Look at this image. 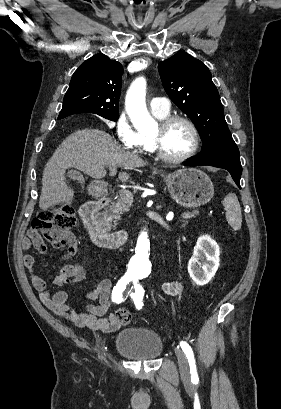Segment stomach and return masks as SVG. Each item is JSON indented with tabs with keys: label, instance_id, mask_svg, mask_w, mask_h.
Instances as JSON below:
<instances>
[{
	"label": "stomach",
	"instance_id": "0dacf381",
	"mask_svg": "<svg viewBox=\"0 0 281 409\" xmlns=\"http://www.w3.org/2000/svg\"><path fill=\"white\" fill-rule=\"evenodd\" d=\"M168 190L182 207H202L211 200L214 194V186L206 172L198 168H179L172 174H166L164 178ZM105 182L92 180L87 186L91 196H100L105 190Z\"/></svg>",
	"mask_w": 281,
	"mask_h": 409
}]
</instances>
